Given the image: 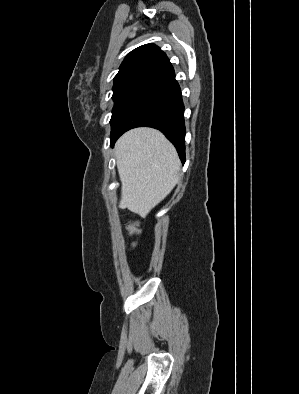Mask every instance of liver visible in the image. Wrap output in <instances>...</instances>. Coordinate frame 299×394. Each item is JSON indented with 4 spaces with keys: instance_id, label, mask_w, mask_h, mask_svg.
I'll return each instance as SVG.
<instances>
[{
    "instance_id": "6515ba94",
    "label": "liver",
    "mask_w": 299,
    "mask_h": 394,
    "mask_svg": "<svg viewBox=\"0 0 299 394\" xmlns=\"http://www.w3.org/2000/svg\"><path fill=\"white\" fill-rule=\"evenodd\" d=\"M115 152L122 184L119 207L146 217L179 180L176 149L160 131L143 127L122 135Z\"/></svg>"
}]
</instances>
